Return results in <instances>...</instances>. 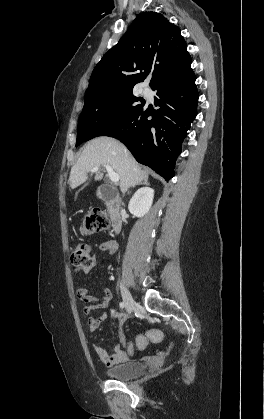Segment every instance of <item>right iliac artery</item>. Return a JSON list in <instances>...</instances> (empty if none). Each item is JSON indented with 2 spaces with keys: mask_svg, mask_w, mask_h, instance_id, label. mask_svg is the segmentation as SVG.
<instances>
[{
  "mask_svg": "<svg viewBox=\"0 0 264 419\" xmlns=\"http://www.w3.org/2000/svg\"><path fill=\"white\" fill-rule=\"evenodd\" d=\"M119 306H120V308H124L125 307L124 302H120Z\"/></svg>",
  "mask_w": 264,
  "mask_h": 419,
  "instance_id": "obj_1",
  "label": "right iliac artery"
}]
</instances>
